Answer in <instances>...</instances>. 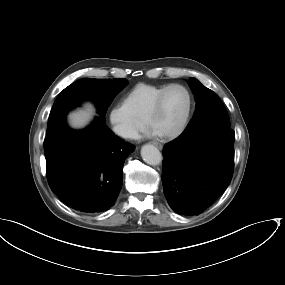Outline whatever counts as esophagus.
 Here are the masks:
<instances>
[{"label":"esophagus","mask_w":285,"mask_h":285,"mask_svg":"<svg viewBox=\"0 0 285 285\" xmlns=\"http://www.w3.org/2000/svg\"><path fill=\"white\" fill-rule=\"evenodd\" d=\"M153 144H154L156 147H158L159 149H162V148H163V146H162L160 143H158V142H153Z\"/></svg>","instance_id":"obj_1"}]
</instances>
